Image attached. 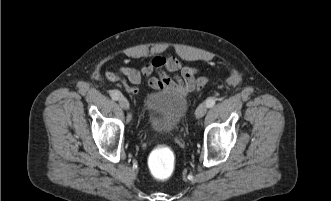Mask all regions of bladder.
<instances>
[{"mask_svg": "<svg viewBox=\"0 0 331 201\" xmlns=\"http://www.w3.org/2000/svg\"><path fill=\"white\" fill-rule=\"evenodd\" d=\"M146 116L153 129L174 131L189 110V99L177 91L163 89L149 92L144 98Z\"/></svg>", "mask_w": 331, "mask_h": 201, "instance_id": "obj_1", "label": "bladder"}]
</instances>
